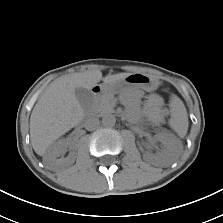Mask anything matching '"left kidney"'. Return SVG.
<instances>
[{"mask_svg": "<svg viewBox=\"0 0 223 223\" xmlns=\"http://www.w3.org/2000/svg\"><path fill=\"white\" fill-rule=\"evenodd\" d=\"M155 139L163 145L161 152L156 155L146 152L143 154L144 160L160 166L174 164L182 152L181 143L169 134H157L155 135Z\"/></svg>", "mask_w": 223, "mask_h": 223, "instance_id": "1", "label": "left kidney"}]
</instances>
